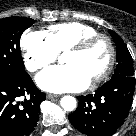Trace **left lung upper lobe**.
<instances>
[{"label":"left lung upper lobe","instance_id":"5c2ea615","mask_svg":"<svg viewBox=\"0 0 136 136\" xmlns=\"http://www.w3.org/2000/svg\"><path fill=\"white\" fill-rule=\"evenodd\" d=\"M109 33L111 34L117 48V62H118L111 79L133 77L134 76L133 60L128 51L127 46L125 45V43L118 34L111 30H109Z\"/></svg>","mask_w":136,"mask_h":136}]
</instances>
